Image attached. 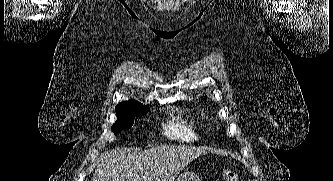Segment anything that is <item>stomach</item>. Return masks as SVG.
Segmentation results:
<instances>
[{"label":"stomach","instance_id":"1","mask_svg":"<svg viewBox=\"0 0 333 181\" xmlns=\"http://www.w3.org/2000/svg\"><path fill=\"white\" fill-rule=\"evenodd\" d=\"M177 181H200L199 176L192 171H185L177 177Z\"/></svg>","mask_w":333,"mask_h":181}]
</instances>
